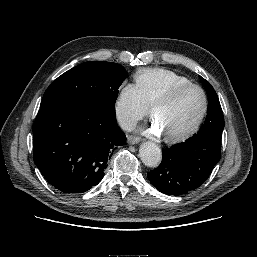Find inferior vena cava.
Returning <instances> with one entry per match:
<instances>
[{
	"label": "inferior vena cava",
	"instance_id": "1",
	"mask_svg": "<svg viewBox=\"0 0 257 257\" xmlns=\"http://www.w3.org/2000/svg\"><path fill=\"white\" fill-rule=\"evenodd\" d=\"M118 122L122 129L131 131L136 127V119L128 115H119Z\"/></svg>",
	"mask_w": 257,
	"mask_h": 257
}]
</instances>
